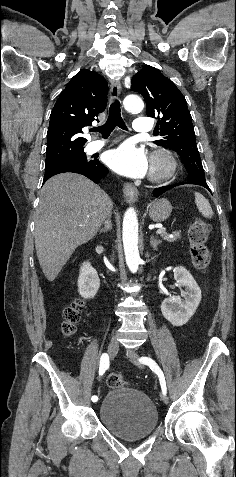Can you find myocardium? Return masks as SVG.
Here are the masks:
<instances>
[{
  "mask_svg": "<svg viewBox=\"0 0 236 477\" xmlns=\"http://www.w3.org/2000/svg\"><path fill=\"white\" fill-rule=\"evenodd\" d=\"M151 169L149 179L153 182H163L171 178L176 169L177 161L173 154L166 149H156L151 155Z\"/></svg>",
  "mask_w": 236,
  "mask_h": 477,
  "instance_id": "1",
  "label": "myocardium"
}]
</instances>
